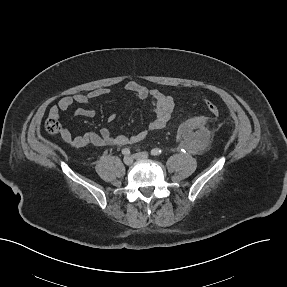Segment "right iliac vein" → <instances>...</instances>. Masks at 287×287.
Masks as SVG:
<instances>
[{
	"instance_id": "right-iliac-vein-1",
	"label": "right iliac vein",
	"mask_w": 287,
	"mask_h": 287,
	"mask_svg": "<svg viewBox=\"0 0 287 287\" xmlns=\"http://www.w3.org/2000/svg\"><path fill=\"white\" fill-rule=\"evenodd\" d=\"M123 162L125 165L130 166L133 163V157L129 155L125 156Z\"/></svg>"
}]
</instances>
